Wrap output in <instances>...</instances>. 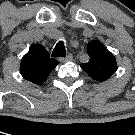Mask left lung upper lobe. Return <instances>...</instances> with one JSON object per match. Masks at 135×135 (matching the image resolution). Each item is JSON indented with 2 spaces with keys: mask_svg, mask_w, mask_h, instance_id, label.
Here are the masks:
<instances>
[{
  "mask_svg": "<svg viewBox=\"0 0 135 135\" xmlns=\"http://www.w3.org/2000/svg\"><path fill=\"white\" fill-rule=\"evenodd\" d=\"M90 60L80 66L96 81L102 82L110 78L117 70L116 59L111 52L106 50L98 41L87 45Z\"/></svg>",
  "mask_w": 135,
  "mask_h": 135,
  "instance_id": "5c2ea615",
  "label": "left lung upper lobe"
}]
</instances>
